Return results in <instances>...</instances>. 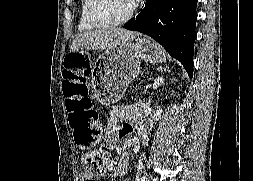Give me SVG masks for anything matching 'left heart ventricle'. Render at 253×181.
<instances>
[{"instance_id": "b2bd125f", "label": "left heart ventricle", "mask_w": 253, "mask_h": 181, "mask_svg": "<svg viewBox=\"0 0 253 181\" xmlns=\"http://www.w3.org/2000/svg\"><path fill=\"white\" fill-rule=\"evenodd\" d=\"M131 9L130 0H101L98 12L108 21H118L124 18Z\"/></svg>"}]
</instances>
